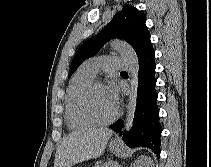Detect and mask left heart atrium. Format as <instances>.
Masks as SVG:
<instances>
[{
    "mask_svg": "<svg viewBox=\"0 0 211 167\" xmlns=\"http://www.w3.org/2000/svg\"><path fill=\"white\" fill-rule=\"evenodd\" d=\"M106 92L111 100V102L113 103V105L116 107L118 104V88L117 85L112 82L109 85H107L105 87Z\"/></svg>",
    "mask_w": 211,
    "mask_h": 167,
    "instance_id": "obj_1",
    "label": "left heart atrium"
}]
</instances>
